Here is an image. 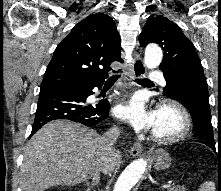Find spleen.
<instances>
[{
    "label": "spleen",
    "mask_w": 221,
    "mask_h": 191,
    "mask_svg": "<svg viewBox=\"0 0 221 191\" xmlns=\"http://www.w3.org/2000/svg\"><path fill=\"white\" fill-rule=\"evenodd\" d=\"M199 191H215V183L213 181H206L199 187Z\"/></svg>",
    "instance_id": "1"
}]
</instances>
